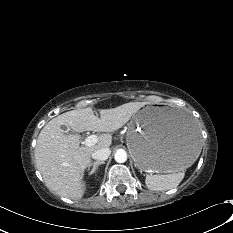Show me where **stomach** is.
Masks as SVG:
<instances>
[{"instance_id": "stomach-1", "label": "stomach", "mask_w": 233, "mask_h": 233, "mask_svg": "<svg viewBox=\"0 0 233 233\" xmlns=\"http://www.w3.org/2000/svg\"><path fill=\"white\" fill-rule=\"evenodd\" d=\"M127 146L144 171L176 172L198 157L201 145L195 121L181 108L146 105L133 115Z\"/></svg>"}]
</instances>
